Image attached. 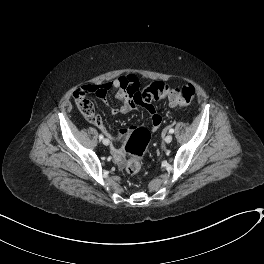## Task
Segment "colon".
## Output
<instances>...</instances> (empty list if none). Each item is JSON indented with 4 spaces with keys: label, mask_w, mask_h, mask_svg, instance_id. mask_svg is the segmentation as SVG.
Instances as JSON below:
<instances>
[{
    "label": "colon",
    "mask_w": 264,
    "mask_h": 264,
    "mask_svg": "<svg viewBox=\"0 0 264 264\" xmlns=\"http://www.w3.org/2000/svg\"><path fill=\"white\" fill-rule=\"evenodd\" d=\"M96 87L78 89L74 93V101L83 116L89 122L97 124L100 118L95 114L94 106L87 96L95 92ZM195 97V88L187 83L182 87L167 85L162 83H153L139 89L133 95L135 104L150 106L159 99H168L174 103H189ZM150 141L149 132L141 127H134L130 137L125 145V151L129 154L126 163V173L130 176L137 175L142 167V155L146 145Z\"/></svg>",
    "instance_id": "5ec220e1"
}]
</instances>
